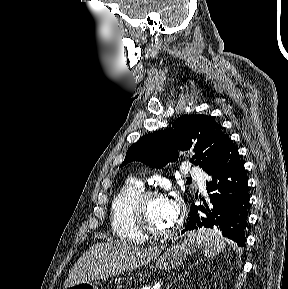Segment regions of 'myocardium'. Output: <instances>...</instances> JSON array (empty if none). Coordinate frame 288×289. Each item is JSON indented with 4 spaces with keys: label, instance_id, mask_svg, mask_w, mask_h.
Wrapping results in <instances>:
<instances>
[{
    "label": "myocardium",
    "instance_id": "myocardium-1",
    "mask_svg": "<svg viewBox=\"0 0 288 289\" xmlns=\"http://www.w3.org/2000/svg\"><path fill=\"white\" fill-rule=\"evenodd\" d=\"M156 199H163L157 192L143 190L133 201L130 207V219L133 228L146 238H160L171 233V229L156 230L152 228L145 218V206L147 202Z\"/></svg>",
    "mask_w": 288,
    "mask_h": 289
}]
</instances>
